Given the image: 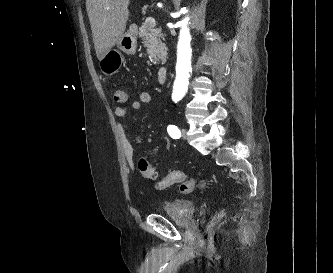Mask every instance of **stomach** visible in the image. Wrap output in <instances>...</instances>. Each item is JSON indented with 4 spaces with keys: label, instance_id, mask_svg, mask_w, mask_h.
<instances>
[{
    "label": "stomach",
    "instance_id": "stomach-1",
    "mask_svg": "<svg viewBox=\"0 0 333 273\" xmlns=\"http://www.w3.org/2000/svg\"><path fill=\"white\" fill-rule=\"evenodd\" d=\"M117 47L128 55H133L137 48V32L134 27H130L117 42ZM103 59L100 61L101 69L104 73L110 74L118 68L120 53H103Z\"/></svg>",
    "mask_w": 333,
    "mask_h": 273
}]
</instances>
